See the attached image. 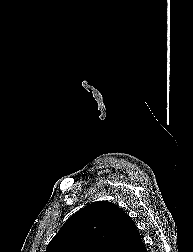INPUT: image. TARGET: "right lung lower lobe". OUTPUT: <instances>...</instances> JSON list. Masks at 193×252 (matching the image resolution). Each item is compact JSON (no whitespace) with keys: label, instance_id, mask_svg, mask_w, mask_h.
<instances>
[{"label":"right lung lower lobe","instance_id":"98d812e1","mask_svg":"<svg viewBox=\"0 0 193 252\" xmlns=\"http://www.w3.org/2000/svg\"><path fill=\"white\" fill-rule=\"evenodd\" d=\"M132 252H147V249L144 243L141 241L133 250Z\"/></svg>","mask_w":193,"mask_h":252}]
</instances>
